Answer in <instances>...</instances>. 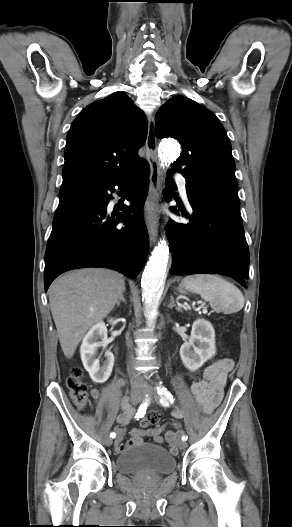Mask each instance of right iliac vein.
I'll return each mask as SVG.
<instances>
[{
  "mask_svg": "<svg viewBox=\"0 0 292 527\" xmlns=\"http://www.w3.org/2000/svg\"><path fill=\"white\" fill-rule=\"evenodd\" d=\"M141 398H142V393L141 392L137 391V392H133L131 394V402L133 404H138L141 401ZM112 442H113V440H112L111 437H106L105 438V443H106L107 446H111Z\"/></svg>",
  "mask_w": 292,
  "mask_h": 527,
  "instance_id": "1",
  "label": "right iliac vein"
}]
</instances>
